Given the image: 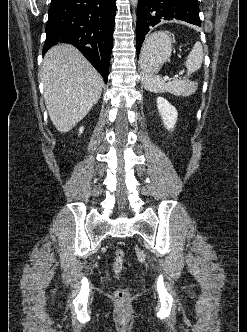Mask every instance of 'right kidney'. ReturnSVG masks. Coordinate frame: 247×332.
<instances>
[{
    "instance_id": "right-kidney-1",
    "label": "right kidney",
    "mask_w": 247,
    "mask_h": 332,
    "mask_svg": "<svg viewBox=\"0 0 247 332\" xmlns=\"http://www.w3.org/2000/svg\"><path fill=\"white\" fill-rule=\"evenodd\" d=\"M83 130H84V128L81 127V128L79 129V133L81 134V133L83 132Z\"/></svg>"
}]
</instances>
